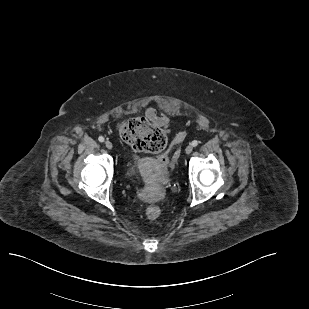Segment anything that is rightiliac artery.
I'll list each match as a JSON object with an SVG mask.
<instances>
[{"label":"right iliac artery","mask_w":309,"mask_h":309,"mask_svg":"<svg viewBox=\"0 0 309 309\" xmlns=\"http://www.w3.org/2000/svg\"><path fill=\"white\" fill-rule=\"evenodd\" d=\"M98 140L100 141V142H104V137L103 136H100L99 138H98Z\"/></svg>","instance_id":"1"}]
</instances>
